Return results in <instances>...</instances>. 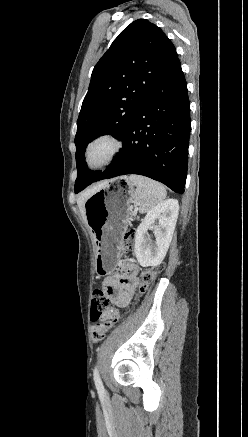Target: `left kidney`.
<instances>
[{"mask_svg":"<svg viewBox=\"0 0 248 437\" xmlns=\"http://www.w3.org/2000/svg\"><path fill=\"white\" fill-rule=\"evenodd\" d=\"M179 204L169 199L150 210L135 233L134 251L142 267L159 265L168 251L178 218ZM158 220V225H154ZM152 228L155 242L146 238L147 230Z\"/></svg>","mask_w":248,"mask_h":437,"instance_id":"1","label":"left kidney"}]
</instances>
